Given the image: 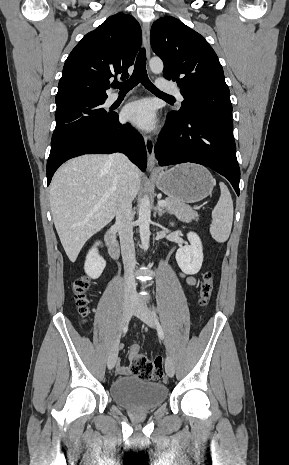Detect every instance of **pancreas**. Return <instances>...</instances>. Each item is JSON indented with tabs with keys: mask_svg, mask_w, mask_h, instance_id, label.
I'll use <instances>...</instances> for the list:
<instances>
[{
	"mask_svg": "<svg viewBox=\"0 0 289 465\" xmlns=\"http://www.w3.org/2000/svg\"><path fill=\"white\" fill-rule=\"evenodd\" d=\"M165 201L167 202L165 209L179 220L184 222L197 220L198 215L190 206L173 198H166Z\"/></svg>",
	"mask_w": 289,
	"mask_h": 465,
	"instance_id": "cf45deb5",
	"label": "pancreas"
}]
</instances>
